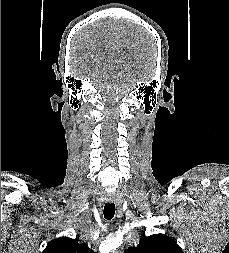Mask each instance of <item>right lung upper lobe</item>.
Returning <instances> with one entry per match:
<instances>
[{"instance_id": "1", "label": "right lung upper lobe", "mask_w": 229, "mask_h": 253, "mask_svg": "<svg viewBox=\"0 0 229 253\" xmlns=\"http://www.w3.org/2000/svg\"><path fill=\"white\" fill-rule=\"evenodd\" d=\"M42 253H95L86 244H79L77 239L60 237L48 243Z\"/></svg>"}]
</instances>
